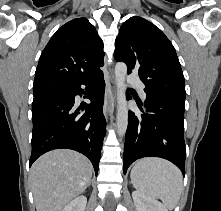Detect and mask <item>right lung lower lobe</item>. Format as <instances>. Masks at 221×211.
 <instances>
[{"instance_id":"1","label":"right lung lower lobe","mask_w":221,"mask_h":211,"mask_svg":"<svg viewBox=\"0 0 221 211\" xmlns=\"http://www.w3.org/2000/svg\"><path fill=\"white\" fill-rule=\"evenodd\" d=\"M90 104L76 109L74 97L85 93ZM105 81L103 72L63 84L34 95L32 103V153L30 166L42 154L59 148L87 156L98 172L106 120L102 113ZM86 110L84 114L78 111Z\"/></svg>"}]
</instances>
